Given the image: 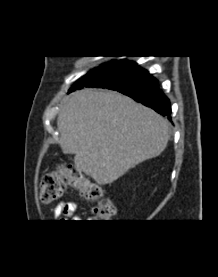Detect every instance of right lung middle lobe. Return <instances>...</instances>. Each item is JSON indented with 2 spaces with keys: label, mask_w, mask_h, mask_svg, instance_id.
Listing matches in <instances>:
<instances>
[{
  "label": "right lung middle lobe",
  "mask_w": 218,
  "mask_h": 277,
  "mask_svg": "<svg viewBox=\"0 0 218 277\" xmlns=\"http://www.w3.org/2000/svg\"><path fill=\"white\" fill-rule=\"evenodd\" d=\"M148 72L137 66L135 62L114 60L110 64L102 65L95 68L88 74H97L101 81V87L108 89L123 88L128 85L135 83L145 76ZM83 76L77 83H74L72 88L69 90H75L79 82L85 77Z\"/></svg>",
  "instance_id": "right-lung-middle-lobe-1"
}]
</instances>
